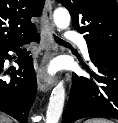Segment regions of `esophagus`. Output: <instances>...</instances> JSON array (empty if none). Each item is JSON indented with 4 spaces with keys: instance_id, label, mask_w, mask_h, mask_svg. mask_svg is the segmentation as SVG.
<instances>
[{
    "instance_id": "1",
    "label": "esophagus",
    "mask_w": 118,
    "mask_h": 123,
    "mask_svg": "<svg viewBox=\"0 0 118 123\" xmlns=\"http://www.w3.org/2000/svg\"><path fill=\"white\" fill-rule=\"evenodd\" d=\"M42 35L45 39V54L40 68L37 73L38 89L42 92L51 90L53 86V80L45 73V63L52 56V51H56L52 33L54 32V23L52 18V3L47 0L45 3L43 15H42Z\"/></svg>"
}]
</instances>
